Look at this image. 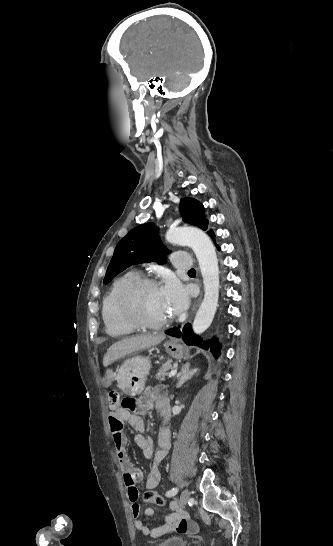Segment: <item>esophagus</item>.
<instances>
[{
    "mask_svg": "<svg viewBox=\"0 0 333 546\" xmlns=\"http://www.w3.org/2000/svg\"><path fill=\"white\" fill-rule=\"evenodd\" d=\"M201 297H202V295L200 296L199 301L201 300Z\"/></svg>",
    "mask_w": 333,
    "mask_h": 546,
    "instance_id": "34e87169",
    "label": "esophagus"
}]
</instances>
